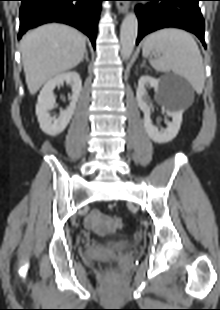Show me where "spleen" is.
I'll return each instance as SVG.
<instances>
[{
  "label": "spleen",
  "instance_id": "spleen-1",
  "mask_svg": "<svg viewBox=\"0 0 220 310\" xmlns=\"http://www.w3.org/2000/svg\"><path fill=\"white\" fill-rule=\"evenodd\" d=\"M143 56L160 72L173 71L187 79L197 93L204 87L203 60L192 35L176 28H165L147 36ZM156 53L157 58L151 55Z\"/></svg>",
  "mask_w": 220,
  "mask_h": 310
}]
</instances>
